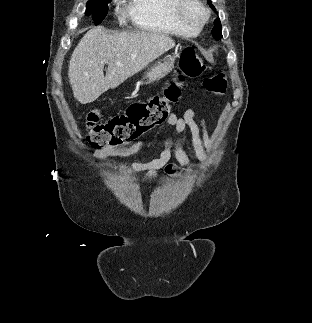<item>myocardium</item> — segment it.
<instances>
[{
  "instance_id": "1",
  "label": "myocardium",
  "mask_w": 312,
  "mask_h": 323,
  "mask_svg": "<svg viewBox=\"0 0 312 323\" xmlns=\"http://www.w3.org/2000/svg\"><path fill=\"white\" fill-rule=\"evenodd\" d=\"M169 13L178 21H186L187 31H202V25H206L212 15L206 10L204 1L199 0H174V8H170Z\"/></svg>"
}]
</instances>
